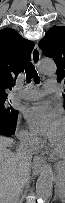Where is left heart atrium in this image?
<instances>
[{
	"mask_svg": "<svg viewBox=\"0 0 65 203\" xmlns=\"http://www.w3.org/2000/svg\"><path fill=\"white\" fill-rule=\"evenodd\" d=\"M25 117L31 128L38 134L52 140L63 128L61 114L47 103H41L29 108Z\"/></svg>",
	"mask_w": 65,
	"mask_h": 203,
	"instance_id": "1",
	"label": "left heart atrium"
}]
</instances>
